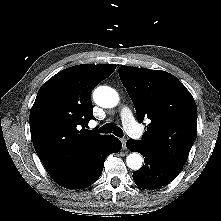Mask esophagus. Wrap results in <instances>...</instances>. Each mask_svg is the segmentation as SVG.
<instances>
[{
	"instance_id": "1",
	"label": "esophagus",
	"mask_w": 221,
	"mask_h": 221,
	"mask_svg": "<svg viewBox=\"0 0 221 221\" xmlns=\"http://www.w3.org/2000/svg\"><path fill=\"white\" fill-rule=\"evenodd\" d=\"M121 142H122V145H123V149L126 150V138H121Z\"/></svg>"
}]
</instances>
